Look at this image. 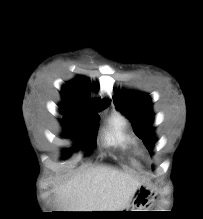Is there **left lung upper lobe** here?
Here are the masks:
<instances>
[{
  "label": "left lung upper lobe",
  "mask_w": 203,
  "mask_h": 219,
  "mask_svg": "<svg viewBox=\"0 0 203 219\" xmlns=\"http://www.w3.org/2000/svg\"><path fill=\"white\" fill-rule=\"evenodd\" d=\"M114 103L130 119L134 132L141 138L144 144L150 149L154 143L153 128L149 127L153 121L151 112V100L147 94L136 92H122V99L118 97Z\"/></svg>",
  "instance_id": "1"
}]
</instances>
